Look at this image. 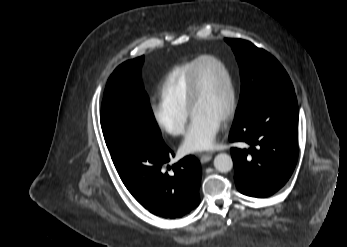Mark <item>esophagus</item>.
Returning <instances> with one entry per match:
<instances>
[{
    "label": "esophagus",
    "instance_id": "34e87169",
    "mask_svg": "<svg viewBox=\"0 0 347 247\" xmlns=\"http://www.w3.org/2000/svg\"><path fill=\"white\" fill-rule=\"evenodd\" d=\"M199 157H200L201 163H206L212 159V153L210 152L200 153Z\"/></svg>",
    "mask_w": 347,
    "mask_h": 247
}]
</instances>
